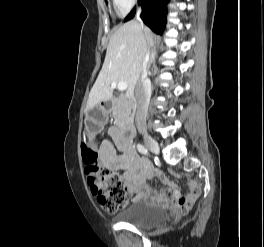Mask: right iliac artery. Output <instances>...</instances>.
<instances>
[{
    "label": "right iliac artery",
    "instance_id": "1",
    "mask_svg": "<svg viewBox=\"0 0 264 247\" xmlns=\"http://www.w3.org/2000/svg\"><path fill=\"white\" fill-rule=\"evenodd\" d=\"M137 149L140 153L148 155V150L142 144H137Z\"/></svg>",
    "mask_w": 264,
    "mask_h": 247
}]
</instances>
